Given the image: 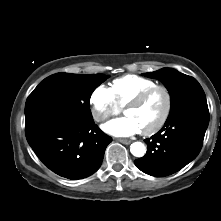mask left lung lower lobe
I'll return each mask as SVG.
<instances>
[{"mask_svg": "<svg viewBox=\"0 0 221 221\" xmlns=\"http://www.w3.org/2000/svg\"><path fill=\"white\" fill-rule=\"evenodd\" d=\"M208 124L206 99L183 105L169 114L158 133L144 140L147 153L135 160V165L142 172L155 177L179 171L199 154Z\"/></svg>", "mask_w": 221, "mask_h": 221, "instance_id": "obj_1", "label": "left lung lower lobe"}]
</instances>
